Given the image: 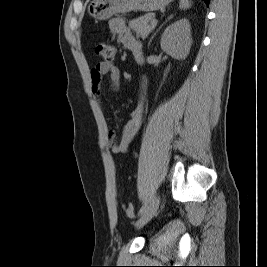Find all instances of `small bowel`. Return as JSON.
I'll return each mask as SVG.
<instances>
[{
	"label": "small bowel",
	"instance_id": "1",
	"mask_svg": "<svg viewBox=\"0 0 267 267\" xmlns=\"http://www.w3.org/2000/svg\"><path fill=\"white\" fill-rule=\"evenodd\" d=\"M109 28L112 33L118 35L120 42L131 52L137 63L143 62L141 43L129 32L124 18L118 17L110 21ZM105 75H109L112 87L117 89L120 83V71L111 63H98L91 70L92 92L94 99L103 111V101L101 97L100 84ZM144 103V94L138 107L132 112L131 118L123 127L121 138L115 142V130L110 129L107 134V141L111 151L115 154L127 152L130 143L140 127L141 112Z\"/></svg>",
	"mask_w": 267,
	"mask_h": 267
}]
</instances>
